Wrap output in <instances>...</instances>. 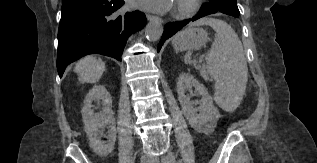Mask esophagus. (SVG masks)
Returning a JSON list of instances; mask_svg holds the SVG:
<instances>
[{"mask_svg": "<svg viewBox=\"0 0 317 163\" xmlns=\"http://www.w3.org/2000/svg\"><path fill=\"white\" fill-rule=\"evenodd\" d=\"M147 17V20L148 21H156V22H159V23H163V20L157 16H154V15H151V14H147L146 15Z\"/></svg>", "mask_w": 317, "mask_h": 163, "instance_id": "esophagus-1", "label": "esophagus"}]
</instances>
